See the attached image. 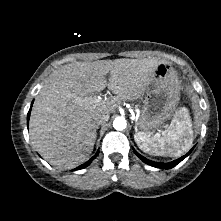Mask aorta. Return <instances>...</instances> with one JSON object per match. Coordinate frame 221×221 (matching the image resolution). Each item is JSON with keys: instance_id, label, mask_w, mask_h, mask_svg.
Segmentation results:
<instances>
[{"instance_id": "aorta-1", "label": "aorta", "mask_w": 221, "mask_h": 221, "mask_svg": "<svg viewBox=\"0 0 221 221\" xmlns=\"http://www.w3.org/2000/svg\"><path fill=\"white\" fill-rule=\"evenodd\" d=\"M127 126L126 120L124 117H116L113 121V127L116 130H124Z\"/></svg>"}]
</instances>
